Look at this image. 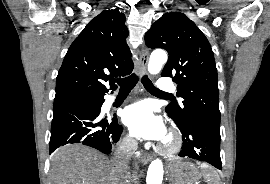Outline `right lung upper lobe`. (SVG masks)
<instances>
[{"instance_id":"obj_1","label":"right lung upper lobe","mask_w":270,"mask_h":184,"mask_svg":"<svg viewBox=\"0 0 270 184\" xmlns=\"http://www.w3.org/2000/svg\"><path fill=\"white\" fill-rule=\"evenodd\" d=\"M125 15L104 10L91 20L69 47L56 79L55 98L106 94L108 80L129 75L134 67L126 43Z\"/></svg>"}]
</instances>
